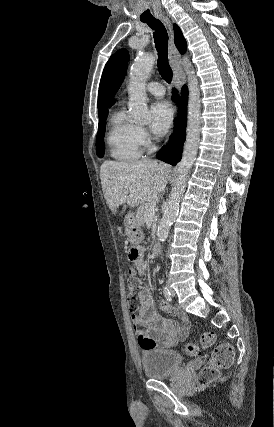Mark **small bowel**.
<instances>
[{
    "instance_id": "1",
    "label": "small bowel",
    "mask_w": 274,
    "mask_h": 427,
    "mask_svg": "<svg viewBox=\"0 0 274 427\" xmlns=\"http://www.w3.org/2000/svg\"><path fill=\"white\" fill-rule=\"evenodd\" d=\"M135 264L140 273H145L147 263L142 255L135 260ZM160 308L164 312L170 311V306L165 301L160 302ZM179 317L182 324L174 319L159 315L155 310L150 291L148 289L143 290L141 305L130 319L140 348L145 352L158 348H174L187 337L190 326V321L185 314H179Z\"/></svg>"
}]
</instances>
